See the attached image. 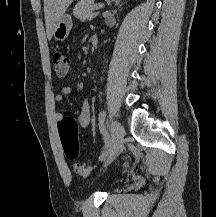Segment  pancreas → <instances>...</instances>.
<instances>
[{
  "instance_id": "obj_1",
  "label": "pancreas",
  "mask_w": 216,
  "mask_h": 217,
  "mask_svg": "<svg viewBox=\"0 0 216 217\" xmlns=\"http://www.w3.org/2000/svg\"><path fill=\"white\" fill-rule=\"evenodd\" d=\"M94 0H81L74 8V16L82 21L91 20L97 14L93 9Z\"/></svg>"
}]
</instances>
